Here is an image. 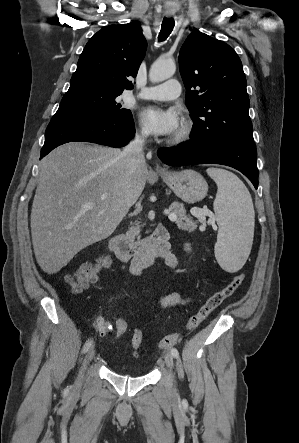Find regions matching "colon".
Returning <instances> with one entry per match:
<instances>
[{"label": "colon", "instance_id": "5ec220e1", "mask_svg": "<svg viewBox=\"0 0 299 443\" xmlns=\"http://www.w3.org/2000/svg\"><path fill=\"white\" fill-rule=\"evenodd\" d=\"M108 264L106 257L100 258L96 263L82 264L76 271L67 276V282L73 292L78 293L86 288L89 283L95 280L99 270ZM245 275L237 274L224 288L210 296L206 302L200 307L187 322L185 329L180 333H173L164 337L159 347L161 349H169L182 340L185 334L195 330L208 316L219 308L224 301L229 299L244 282ZM111 333L120 338L124 336L130 329V322L126 316H119L114 319L111 324ZM144 343V334L138 327L134 328L131 334V347L139 349Z\"/></svg>", "mask_w": 299, "mask_h": 443}]
</instances>
